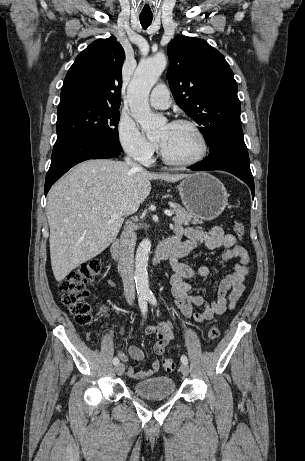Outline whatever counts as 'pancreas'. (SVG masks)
I'll return each mask as SVG.
<instances>
[{
	"mask_svg": "<svg viewBox=\"0 0 305 461\" xmlns=\"http://www.w3.org/2000/svg\"><path fill=\"white\" fill-rule=\"evenodd\" d=\"M172 211L175 213V217L172 219L176 224L189 225L191 224H202L203 221L198 217H195L193 213L185 210L179 204L171 205Z\"/></svg>",
	"mask_w": 305,
	"mask_h": 461,
	"instance_id": "cf45deb5",
	"label": "pancreas"
}]
</instances>
